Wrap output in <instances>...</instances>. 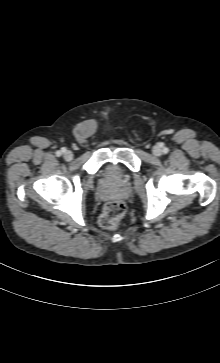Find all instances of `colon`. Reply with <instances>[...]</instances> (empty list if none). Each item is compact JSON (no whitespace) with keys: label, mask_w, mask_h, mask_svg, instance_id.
Instances as JSON below:
<instances>
[{"label":"colon","mask_w":220,"mask_h":363,"mask_svg":"<svg viewBox=\"0 0 220 363\" xmlns=\"http://www.w3.org/2000/svg\"><path fill=\"white\" fill-rule=\"evenodd\" d=\"M126 211L125 204L120 200L108 202L100 215L99 223L105 229L118 227Z\"/></svg>","instance_id":"colon-1"}]
</instances>
